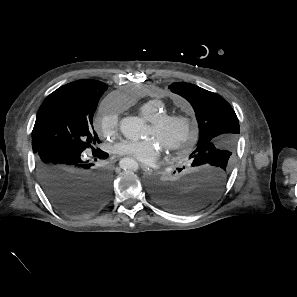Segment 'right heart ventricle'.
Segmentation results:
<instances>
[{"label": "right heart ventricle", "mask_w": 297, "mask_h": 297, "mask_svg": "<svg viewBox=\"0 0 297 297\" xmlns=\"http://www.w3.org/2000/svg\"><path fill=\"white\" fill-rule=\"evenodd\" d=\"M139 111L142 116L150 122L167 113L164 101L159 98L147 100L140 105Z\"/></svg>", "instance_id": "right-heart-ventricle-1"}]
</instances>
